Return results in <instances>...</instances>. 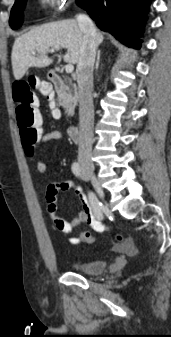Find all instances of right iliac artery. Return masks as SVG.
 <instances>
[{
	"mask_svg": "<svg viewBox=\"0 0 171 337\" xmlns=\"http://www.w3.org/2000/svg\"><path fill=\"white\" fill-rule=\"evenodd\" d=\"M72 172L76 175V176H80L81 175V167L79 165V163L74 162L72 164ZM88 197H89V201L91 206L94 209L95 215L99 220L103 219V213L101 211L102 208V203L99 202V200L97 199V197L92 193L89 192L88 193Z\"/></svg>",
	"mask_w": 171,
	"mask_h": 337,
	"instance_id": "obj_1",
	"label": "right iliac artery"
}]
</instances>
